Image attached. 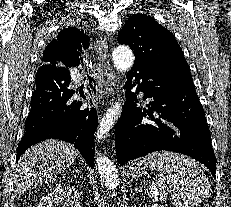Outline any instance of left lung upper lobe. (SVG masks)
<instances>
[{"label":"left lung upper lobe","instance_id":"left-lung-upper-lobe-1","mask_svg":"<svg viewBox=\"0 0 231 207\" xmlns=\"http://www.w3.org/2000/svg\"><path fill=\"white\" fill-rule=\"evenodd\" d=\"M118 42L131 47L135 63L166 70L178 80H192L188 63L174 35L152 17L135 14L124 24Z\"/></svg>","mask_w":231,"mask_h":207}]
</instances>
